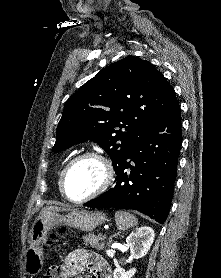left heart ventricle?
I'll list each match as a JSON object with an SVG mask.
<instances>
[{"instance_id": "1", "label": "left heart ventricle", "mask_w": 221, "mask_h": 278, "mask_svg": "<svg viewBox=\"0 0 221 278\" xmlns=\"http://www.w3.org/2000/svg\"><path fill=\"white\" fill-rule=\"evenodd\" d=\"M103 179L101 164L87 158L77 161L69 170L66 192L72 199H81L94 191Z\"/></svg>"}]
</instances>
